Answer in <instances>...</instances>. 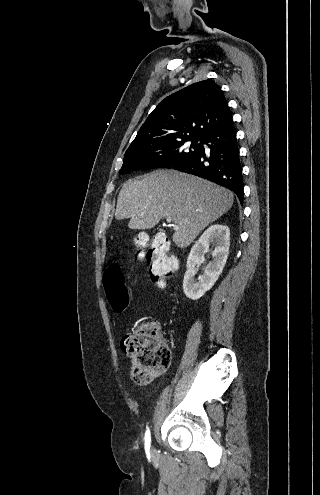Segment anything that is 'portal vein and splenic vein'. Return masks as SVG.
<instances>
[{"mask_svg":"<svg viewBox=\"0 0 320 495\" xmlns=\"http://www.w3.org/2000/svg\"><path fill=\"white\" fill-rule=\"evenodd\" d=\"M167 222H171L172 221V218L171 217H167L166 218ZM174 228H176V226H173Z\"/></svg>","mask_w":320,"mask_h":495,"instance_id":"1","label":"portal vein and splenic vein"}]
</instances>
